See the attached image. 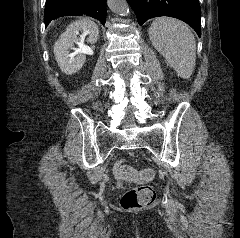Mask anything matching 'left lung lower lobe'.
Returning <instances> with one entry per match:
<instances>
[{"instance_id":"0a47b994","label":"left lung lower lobe","mask_w":240,"mask_h":238,"mask_svg":"<svg viewBox=\"0 0 240 238\" xmlns=\"http://www.w3.org/2000/svg\"><path fill=\"white\" fill-rule=\"evenodd\" d=\"M139 25L158 16H169L188 23L201 36L199 0H127Z\"/></svg>"}]
</instances>
